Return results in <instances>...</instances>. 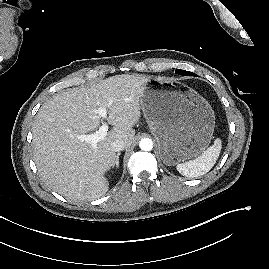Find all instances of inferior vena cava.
<instances>
[{"mask_svg": "<svg viewBox=\"0 0 269 269\" xmlns=\"http://www.w3.org/2000/svg\"><path fill=\"white\" fill-rule=\"evenodd\" d=\"M125 146L126 145H125L124 141H122V140H115L111 145L112 150L115 152L122 151L125 148Z\"/></svg>", "mask_w": 269, "mask_h": 269, "instance_id": "602c4592", "label": "inferior vena cava"}]
</instances>
